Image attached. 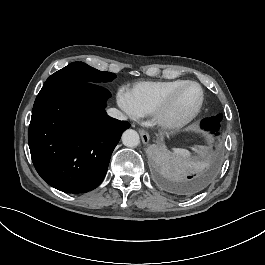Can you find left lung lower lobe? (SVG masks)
Segmentation results:
<instances>
[{
  "mask_svg": "<svg viewBox=\"0 0 265 265\" xmlns=\"http://www.w3.org/2000/svg\"><path fill=\"white\" fill-rule=\"evenodd\" d=\"M222 121V115L213 116L210 118H205L201 121V127L207 131H211L218 135L220 128V122ZM214 160L210 157L205 158V162L208 164L207 174L202 177L192 179L191 176L187 177V181H176L169 176V172L172 170L174 162L169 158H163L159 163L157 169V177L159 181L167 188L180 193V194H190L198 191L207 181L208 173L211 171Z\"/></svg>",
  "mask_w": 265,
  "mask_h": 265,
  "instance_id": "1",
  "label": "left lung lower lobe"
}]
</instances>
